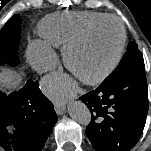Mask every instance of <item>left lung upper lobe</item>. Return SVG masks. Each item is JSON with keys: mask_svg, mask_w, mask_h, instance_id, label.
Masks as SVG:
<instances>
[{"mask_svg": "<svg viewBox=\"0 0 151 151\" xmlns=\"http://www.w3.org/2000/svg\"><path fill=\"white\" fill-rule=\"evenodd\" d=\"M135 66L145 67L143 56L140 50L138 49L137 43L135 41H131L127 47V52L120 61L118 67L104 80V82L112 80L122 72Z\"/></svg>", "mask_w": 151, "mask_h": 151, "instance_id": "5c2ea615", "label": "left lung upper lobe"}]
</instances>
